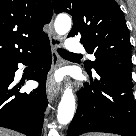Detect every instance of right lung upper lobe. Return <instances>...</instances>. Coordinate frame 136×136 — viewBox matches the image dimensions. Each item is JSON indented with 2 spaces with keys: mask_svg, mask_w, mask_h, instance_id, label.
Listing matches in <instances>:
<instances>
[{
  "mask_svg": "<svg viewBox=\"0 0 136 136\" xmlns=\"http://www.w3.org/2000/svg\"><path fill=\"white\" fill-rule=\"evenodd\" d=\"M51 18L49 0H0V64L18 59L48 38L43 26Z\"/></svg>",
  "mask_w": 136,
  "mask_h": 136,
  "instance_id": "obj_1",
  "label": "right lung upper lobe"
}]
</instances>
